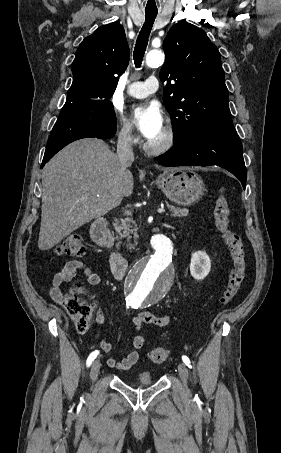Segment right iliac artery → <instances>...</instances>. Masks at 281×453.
Masks as SVG:
<instances>
[{
  "mask_svg": "<svg viewBox=\"0 0 281 453\" xmlns=\"http://www.w3.org/2000/svg\"><path fill=\"white\" fill-rule=\"evenodd\" d=\"M127 308H129L128 305H127ZM98 354H99V351L95 350L94 352H92L89 355V357H88V359L86 361L87 367H89L91 365V363L94 361V359L97 357Z\"/></svg>",
  "mask_w": 281,
  "mask_h": 453,
  "instance_id": "obj_1",
  "label": "right iliac artery"
}]
</instances>
